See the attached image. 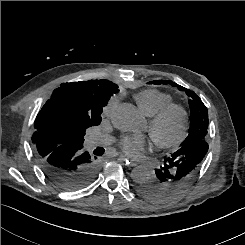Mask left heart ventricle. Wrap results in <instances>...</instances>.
<instances>
[{
    "mask_svg": "<svg viewBox=\"0 0 245 245\" xmlns=\"http://www.w3.org/2000/svg\"><path fill=\"white\" fill-rule=\"evenodd\" d=\"M180 128V115L173 113L157 128L155 135L160 140H172L178 136Z\"/></svg>",
    "mask_w": 245,
    "mask_h": 245,
    "instance_id": "1",
    "label": "left heart ventricle"
}]
</instances>
